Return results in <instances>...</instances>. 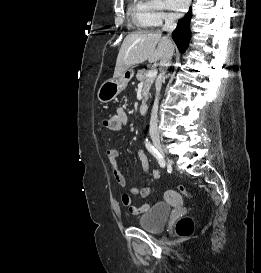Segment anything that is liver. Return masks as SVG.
<instances>
[{
	"label": "liver",
	"mask_w": 261,
	"mask_h": 273,
	"mask_svg": "<svg viewBox=\"0 0 261 273\" xmlns=\"http://www.w3.org/2000/svg\"><path fill=\"white\" fill-rule=\"evenodd\" d=\"M174 52V46L161 32H136L127 35L119 50L113 78L122 75L129 67L144 61H162Z\"/></svg>",
	"instance_id": "6515ba94"
}]
</instances>
